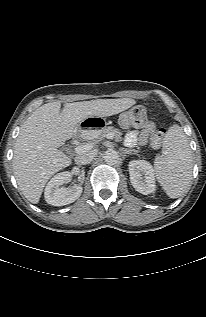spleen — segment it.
Returning a JSON list of instances; mask_svg holds the SVG:
<instances>
[{"label":"spleen","mask_w":206,"mask_h":317,"mask_svg":"<svg viewBox=\"0 0 206 317\" xmlns=\"http://www.w3.org/2000/svg\"><path fill=\"white\" fill-rule=\"evenodd\" d=\"M193 159L187 136L174 124L163 140V154L155 159L154 172L170 198L180 197L192 178Z\"/></svg>","instance_id":"1"}]
</instances>
